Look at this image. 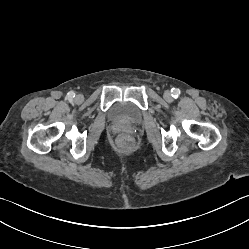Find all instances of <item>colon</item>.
<instances>
[{"instance_id":"obj_1","label":"colon","mask_w":249,"mask_h":249,"mask_svg":"<svg viewBox=\"0 0 249 249\" xmlns=\"http://www.w3.org/2000/svg\"><path fill=\"white\" fill-rule=\"evenodd\" d=\"M120 144L121 146L125 147V148H130L132 145V139L130 136L128 135H123L120 138Z\"/></svg>"}]
</instances>
